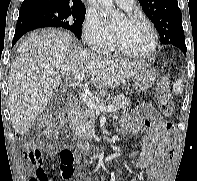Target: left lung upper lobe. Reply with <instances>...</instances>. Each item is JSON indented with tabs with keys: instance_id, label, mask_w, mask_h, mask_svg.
Returning a JSON list of instances; mask_svg holds the SVG:
<instances>
[{
	"instance_id": "obj_1",
	"label": "left lung upper lobe",
	"mask_w": 197,
	"mask_h": 181,
	"mask_svg": "<svg viewBox=\"0 0 197 181\" xmlns=\"http://www.w3.org/2000/svg\"><path fill=\"white\" fill-rule=\"evenodd\" d=\"M139 3L157 29L162 44L186 46L177 0H139Z\"/></svg>"
}]
</instances>
